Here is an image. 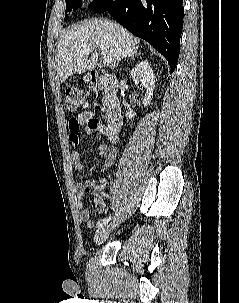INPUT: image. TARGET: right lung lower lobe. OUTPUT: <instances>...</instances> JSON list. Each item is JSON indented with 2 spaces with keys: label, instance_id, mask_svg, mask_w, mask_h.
Wrapping results in <instances>:
<instances>
[{
  "label": "right lung lower lobe",
  "instance_id": "98d812e1",
  "mask_svg": "<svg viewBox=\"0 0 239 303\" xmlns=\"http://www.w3.org/2000/svg\"><path fill=\"white\" fill-rule=\"evenodd\" d=\"M108 11L132 34L149 42L175 70L183 27V0H106L94 12Z\"/></svg>",
  "mask_w": 239,
  "mask_h": 303
}]
</instances>
